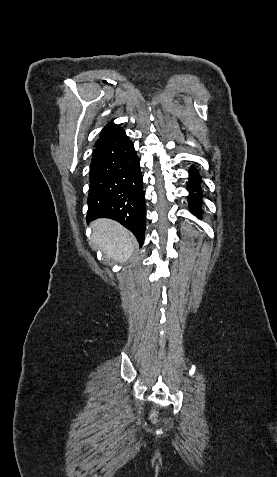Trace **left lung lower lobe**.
Listing matches in <instances>:
<instances>
[{
  "instance_id": "obj_1",
  "label": "left lung lower lobe",
  "mask_w": 277,
  "mask_h": 477,
  "mask_svg": "<svg viewBox=\"0 0 277 477\" xmlns=\"http://www.w3.org/2000/svg\"><path fill=\"white\" fill-rule=\"evenodd\" d=\"M200 176L195 168L190 171V178L188 183V191L190 192V209L194 214H200L201 190H200ZM193 192H197L193 194Z\"/></svg>"
}]
</instances>
